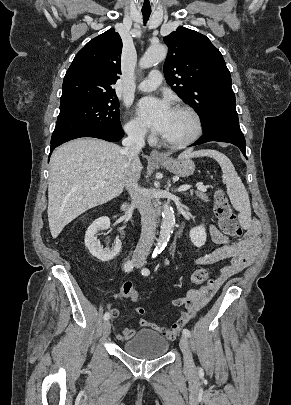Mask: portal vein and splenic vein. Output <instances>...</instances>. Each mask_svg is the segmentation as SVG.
<instances>
[{"instance_id": "obj_1", "label": "portal vein and splenic vein", "mask_w": 291, "mask_h": 405, "mask_svg": "<svg viewBox=\"0 0 291 405\" xmlns=\"http://www.w3.org/2000/svg\"><path fill=\"white\" fill-rule=\"evenodd\" d=\"M94 182L96 183V187H104L107 186L109 183L105 182V181H100V180H94ZM192 186L191 185H182L178 188L179 192H185L187 190H189ZM197 190L201 191V192H206L207 188L204 185H198L197 186Z\"/></svg>"}]
</instances>
